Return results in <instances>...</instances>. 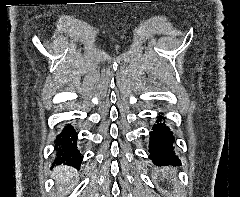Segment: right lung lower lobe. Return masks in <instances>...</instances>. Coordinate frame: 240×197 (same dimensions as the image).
Listing matches in <instances>:
<instances>
[{"label": "right lung lower lobe", "instance_id": "98d812e1", "mask_svg": "<svg viewBox=\"0 0 240 197\" xmlns=\"http://www.w3.org/2000/svg\"><path fill=\"white\" fill-rule=\"evenodd\" d=\"M56 162L79 169L83 157L77 149V132L71 125H66L55 139ZM55 162V163H56Z\"/></svg>", "mask_w": 240, "mask_h": 197}]
</instances>
